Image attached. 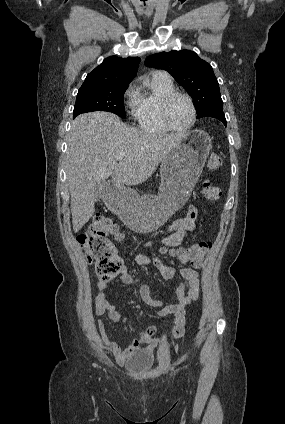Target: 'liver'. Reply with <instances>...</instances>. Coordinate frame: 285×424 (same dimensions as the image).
I'll return each instance as SVG.
<instances>
[{
    "mask_svg": "<svg viewBox=\"0 0 285 424\" xmlns=\"http://www.w3.org/2000/svg\"><path fill=\"white\" fill-rule=\"evenodd\" d=\"M184 138L129 127L109 112L79 115L67 136L66 176L74 232L94 214L95 184L112 177L115 186L145 182L171 149ZM121 152L122 160L116 159Z\"/></svg>",
    "mask_w": 285,
    "mask_h": 424,
    "instance_id": "1",
    "label": "liver"
}]
</instances>
